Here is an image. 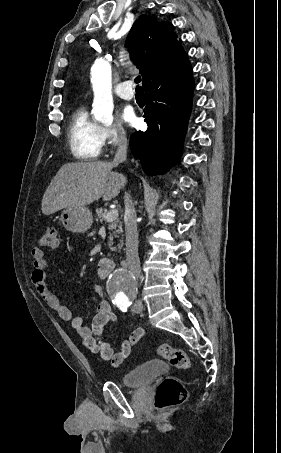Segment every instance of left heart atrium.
<instances>
[{"label":"left heart atrium","mask_w":281,"mask_h":453,"mask_svg":"<svg viewBox=\"0 0 281 453\" xmlns=\"http://www.w3.org/2000/svg\"><path fill=\"white\" fill-rule=\"evenodd\" d=\"M120 119L127 125L133 126L137 122L135 110L131 106H125L120 111Z\"/></svg>","instance_id":"39dd6f15"}]
</instances>
